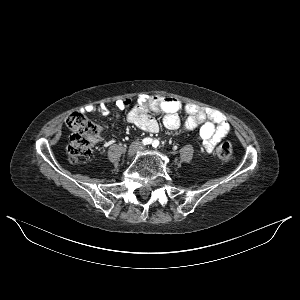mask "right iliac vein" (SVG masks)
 I'll use <instances>...</instances> for the list:
<instances>
[{
  "mask_svg": "<svg viewBox=\"0 0 300 300\" xmlns=\"http://www.w3.org/2000/svg\"><path fill=\"white\" fill-rule=\"evenodd\" d=\"M139 148V144L138 143H133L128 150V157H132L136 154V152L138 151Z\"/></svg>",
  "mask_w": 300,
  "mask_h": 300,
  "instance_id": "obj_1",
  "label": "right iliac vein"
}]
</instances>
